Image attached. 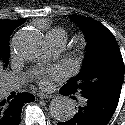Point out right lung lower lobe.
Here are the masks:
<instances>
[{"mask_svg": "<svg viewBox=\"0 0 125 125\" xmlns=\"http://www.w3.org/2000/svg\"><path fill=\"white\" fill-rule=\"evenodd\" d=\"M34 100L30 93H19L8 100L0 98V125H19L22 106Z\"/></svg>", "mask_w": 125, "mask_h": 125, "instance_id": "1", "label": "right lung lower lobe"}]
</instances>
